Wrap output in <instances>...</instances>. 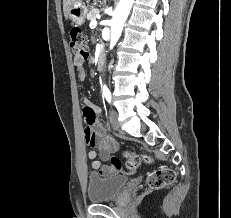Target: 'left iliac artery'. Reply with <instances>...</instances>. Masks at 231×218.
<instances>
[{
	"label": "left iliac artery",
	"mask_w": 231,
	"mask_h": 218,
	"mask_svg": "<svg viewBox=\"0 0 231 218\" xmlns=\"http://www.w3.org/2000/svg\"><path fill=\"white\" fill-rule=\"evenodd\" d=\"M104 96L106 100L110 103L111 102V93L109 90L104 91Z\"/></svg>",
	"instance_id": "44dca946"
}]
</instances>
